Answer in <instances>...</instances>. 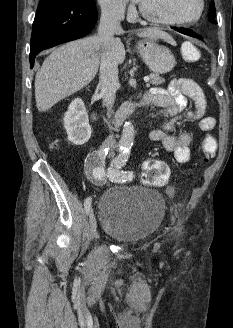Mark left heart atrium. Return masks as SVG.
Returning <instances> with one entry per match:
<instances>
[{
	"label": "left heart atrium",
	"instance_id": "1",
	"mask_svg": "<svg viewBox=\"0 0 233 328\" xmlns=\"http://www.w3.org/2000/svg\"><path fill=\"white\" fill-rule=\"evenodd\" d=\"M136 2H140L141 0H135Z\"/></svg>",
	"mask_w": 233,
	"mask_h": 328
}]
</instances>
